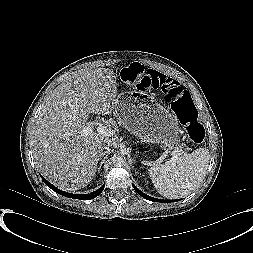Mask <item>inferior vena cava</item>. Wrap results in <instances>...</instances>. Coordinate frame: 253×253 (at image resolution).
I'll list each match as a JSON object with an SVG mask.
<instances>
[{"instance_id":"obj_1","label":"inferior vena cava","mask_w":253,"mask_h":253,"mask_svg":"<svg viewBox=\"0 0 253 253\" xmlns=\"http://www.w3.org/2000/svg\"><path fill=\"white\" fill-rule=\"evenodd\" d=\"M110 146H111V145H106L104 149H105L106 151H111V150H110Z\"/></svg>"}]
</instances>
